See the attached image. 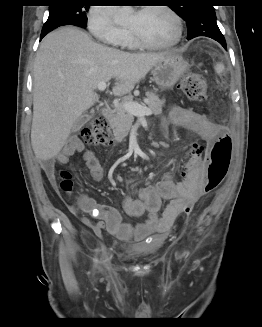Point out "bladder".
<instances>
[{"mask_svg": "<svg viewBox=\"0 0 262 327\" xmlns=\"http://www.w3.org/2000/svg\"><path fill=\"white\" fill-rule=\"evenodd\" d=\"M162 245L163 242L159 246H152L151 243H136L128 246L127 250L137 257H147L153 254Z\"/></svg>", "mask_w": 262, "mask_h": 327, "instance_id": "31cf9c89", "label": "bladder"}]
</instances>
